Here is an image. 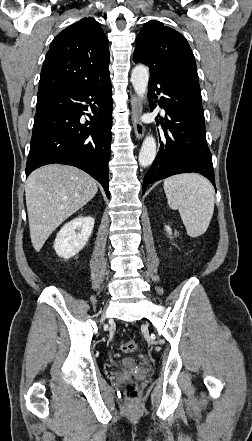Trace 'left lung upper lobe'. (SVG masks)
I'll use <instances>...</instances> for the list:
<instances>
[{"instance_id":"left-lung-upper-lobe-1","label":"left lung upper lobe","mask_w":252,"mask_h":441,"mask_svg":"<svg viewBox=\"0 0 252 441\" xmlns=\"http://www.w3.org/2000/svg\"><path fill=\"white\" fill-rule=\"evenodd\" d=\"M133 61L150 69V78L180 75L200 90L196 62L186 39L158 21L144 24L136 38Z\"/></svg>"}]
</instances>
